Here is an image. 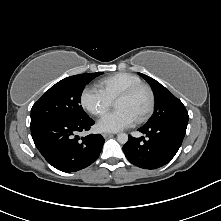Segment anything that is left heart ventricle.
Listing matches in <instances>:
<instances>
[{"label": "left heart ventricle", "instance_id": "b2bd125f", "mask_svg": "<svg viewBox=\"0 0 221 221\" xmlns=\"http://www.w3.org/2000/svg\"><path fill=\"white\" fill-rule=\"evenodd\" d=\"M149 96L145 90H140L129 98L119 99L115 102L116 109H125L137 119L147 109Z\"/></svg>", "mask_w": 221, "mask_h": 221}]
</instances>
